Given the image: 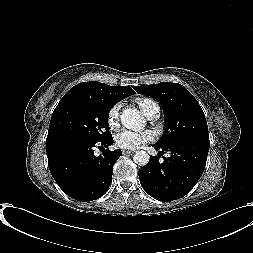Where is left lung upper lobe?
<instances>
[{
    "mask_svg": "<svg viewBox=\"0 0 253 253\" xmlns=\"http://www.w3.org/2000/svg\"><path fill=\"white\" fill-rule=\"evenodd\" d=\"M133 88L139 94L153 97L163 108L164 132L155 145L165 147L184 140L210 145L205 115L197 100L184 86L161 82Z\"/></svg>",
    "mask_w": 253,
    "mask_h": 253,
    "instance_id": "left-lung-upper-lobe-1",
    "label": "left lung upper lobe"
}]
</instances>
